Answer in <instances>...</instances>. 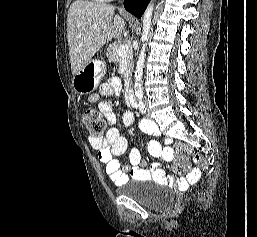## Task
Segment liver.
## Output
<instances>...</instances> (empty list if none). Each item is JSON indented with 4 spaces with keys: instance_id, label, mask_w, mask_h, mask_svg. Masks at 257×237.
<instances>
[{
    "instance_id": "obj_1",
    "label": "liver",
    "mask_w": 257,
    "mask_h": 237,
    "mask_svg": "<svg viewBox=\"0 0 257 237\" xmlns=\"http://www.w3.org/2000/svg\"><path fill=\"white\" fill-rule=\"evenodd\" d=\"M115 7L76 0L70 5L67 17V38L71 71L75 75L113 38L125 28L124 19L116 15Z\"/></svg>"
}]
</instances>
